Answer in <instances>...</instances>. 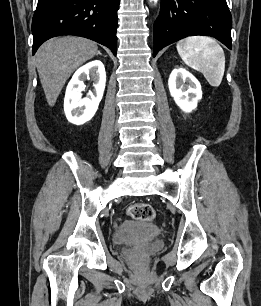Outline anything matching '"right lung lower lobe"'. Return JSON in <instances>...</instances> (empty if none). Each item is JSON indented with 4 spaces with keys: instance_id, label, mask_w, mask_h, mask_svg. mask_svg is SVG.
Listing matches in <instances>:
<instances>
[{
    "instance_id": "98d812e1",
    "label": "right lung lower lobe",
    "mask_w": 261,
    "mask_h": 306,
    "mask_svg": "<svg viewBox=\"0 0 261 306\" xmlns=\"http://www.w3.org/2000/svg\"><path fill=\"white\" fill-rule=\"evenodd\" d=\"M120 0H38L32 20L33 55L49 38L77 35L107 46L116 55Z\"/></svg>"
}]
</instances>
